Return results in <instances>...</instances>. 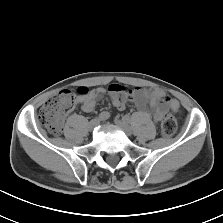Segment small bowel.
Masks as SVG:
<instances>
[{
  "mask_svg": "<svg viewBox=\"0 0 223 223\" xmlns=\"http://www.w3.org/2000/svg\"><path fill=\"white\" fill-rule=\"evenodd\" d=\"M108 93L113 106L118 110H123L127 101L137 104L139 108H144L148 103L149 108L154 113L155 121H159L163 114L171 109L177 111L179 103L167 93L149 88L134 87L129 88L119 84H112L108 88ZM106 94L104 88L92 89L84 96L78 97V103L84 112H92L98 101Z\"/></svg>",
  "mask_w": 223,
  "mask_h": 223,
  "instance_id": "obj_1",
  "label": "small bowel"
}]
</instances>
